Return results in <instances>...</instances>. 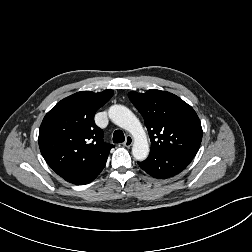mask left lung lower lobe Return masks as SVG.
<instances>
[{
	"label": "left lung lower lobe",
	"instance_id": "left-lung-lower-lobe-1",
	"mask_svg": "<svg viewBox=\"0 0 252 252\" xmlns=\"http://www.w3.org/2000/svg\"><path fill=\"white\" fill-rule=\"evenodd\" d=\"M193 157L179 153L149 155L139 166L149 175L159 179L172 177L185 169Z\"/></svg>",
	"mask_w": 252,
	"mask_h": 252
}]
</instances>
